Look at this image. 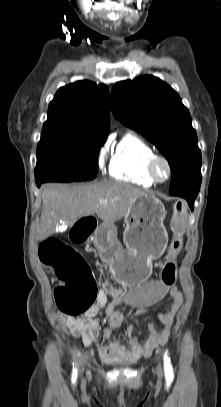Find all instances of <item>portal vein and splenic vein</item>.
I'll return each mask as SVG.
<instances>
[{
  "instance_id": "1",
  "label": "portal vein and splenic vein",
  "mask_w": 221,
  "mask_h": 407,
  "mask_svg": "<svg viewBox=\"0 0 221 407\" xmlns=\"http://www.w3.org/2000/svg\"><path fill=\"white\" fill-rule=\"evenodd\" d=\"M106 202H107L106 200H99V204H104Z\"/></svg>"
}]
</instances>
